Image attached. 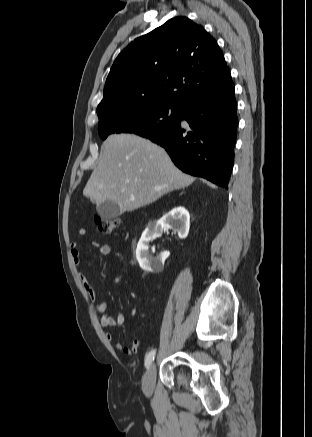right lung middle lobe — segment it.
Instances as JSON below:
<instances>
[{
    "instance_id": "dd1d6c3e",
    "label": "right lung middle lobe",
    "mask_w": 312,
    "mask_h": 437,
    "mask_svg": "<svg viewBox=\"0 0 312 437\" xmlns=\"http://www.w3.org/2000/svg\"><path fill=\"white\" fill-rule=\"evenodd\" d=\"M181 108L161 102L126 105L101 117L98 132L102 139L122 132L147 137L175 125L180 119Z\"/></svg>"
}]
</instances>
